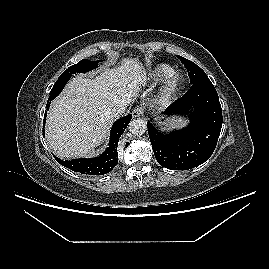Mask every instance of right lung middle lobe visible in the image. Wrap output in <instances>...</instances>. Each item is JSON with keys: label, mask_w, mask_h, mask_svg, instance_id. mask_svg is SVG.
<instances>
[{"label": "right lung middle lobe", "mask_w": 269, "mask_h": 269, "mask_svg": "<svg viewBox=\"0 0 269 269\" xmlns=\"http://www.w3.org/2000/svg\"><path fill=\"white\" fill-rule=\"evenodd\" d=\"M98 63H99V61L93 62V61H89L87 59H82L77 64L72 65L68 69H66L65 72H63L59 78L71 77V75L75 74V73H84V72L90 71L92 69L97 68Z\"/></svg>", "instance_id": "obj_1"}]
</instances>
